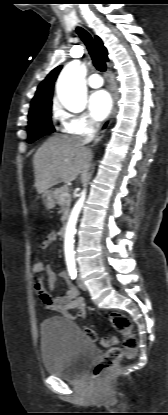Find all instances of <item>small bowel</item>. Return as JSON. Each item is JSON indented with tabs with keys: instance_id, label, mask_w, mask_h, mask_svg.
<instances>
[{
	"instance_id": "c3829d8e",
	"label": "small bowel",
	"mask_w": 168,
	"mask_h": 415,
	"mask_svg": "<svg viewBox=\"0 0 168 415\" xmlns=\"http://www.w3.org/2000/svg\"><path fill=\"white\" fill-rule=\"evenodd\" d=\"M56 238V233H49L40 247L43 250L48 249L55 242ZM43 270L44 275L47 276V285L45 286L43 282L34 283V288L47 308L60 313L70 320L84 318L86 316L84 299L80 296L77 288L71 283L68 272L61 271L58 275L67 286L66 292L63 295L53 297L51 291L56 282L57 275L49 264H45ZM71 310H76V314L71 313Z\"/></svg>"
}]
</instances>
